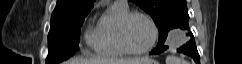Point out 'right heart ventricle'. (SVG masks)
<instances>
[{
	"mask_svg": "<svg viewBox=\"0 0 242 64\" xmlns=\"http://www.w3.org/2000/svg\"><path fill=\"white\" fill-rule=\"evenodd\" d=\"M129 12L127 6L113 3L101 14L96 25L87 34L89 47L105 57H119L125 54L118 41L120 20Z\"/></svg>",
	"mask_w": 242,
	"mask_h": 64,
	"instance_id": "right-heart-ventricle-1",
	"label": "right heart ventricle"
}]
</instances>
